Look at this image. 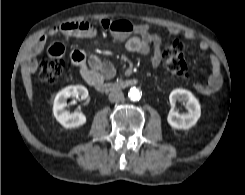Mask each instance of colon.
Returning <instances> with one entry per match:
<instances>
[{"label": "colon", "mask_w": 245, "mask_h": 195, "mask_svg": "<svg viewBox=\"0 0 245 195\" xmlns=\"http://www.w3.org/2000/svg\"><path fill=\"white\" fill-rule=\"evenodd\" d=\"M184 46L181 41H174L164 51V64L167 71L173 76H182L186 73L187 64L183 55ZM66 69V63L61 56L43 57L40 60L39 77L44 82H55L61 79Z\"/></svg>", "instance_id": "1"}]
</instances>
